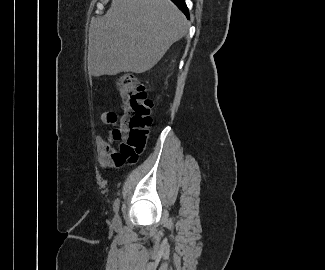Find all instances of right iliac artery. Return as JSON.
I'll return each instance as SVG.
<instances>
[{
  "label": "right iliac artery",
  "mask_w": 325,
  "mask_h": 270,
  "mask_svg": "<svg viewBox=\"0 0 325 270\" xmlns=\"http://www.w3.org/2000/svg\"><path fill=\"white\" fill-rule=\"evenodd\" d=\"M119 206H120V200L117 198L113 205L114 212H116V213L118 212Z\"/></svg>",
  "instance_id": "1"
}]
</instances>
